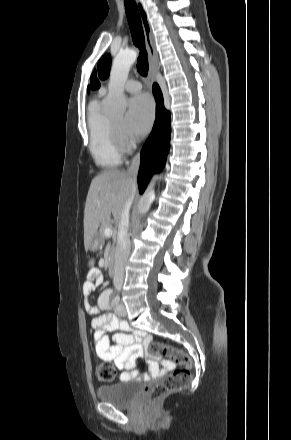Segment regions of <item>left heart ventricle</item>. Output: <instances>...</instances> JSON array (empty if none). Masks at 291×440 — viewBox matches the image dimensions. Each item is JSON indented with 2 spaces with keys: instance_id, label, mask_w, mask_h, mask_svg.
Returning <instances> with one entry per match:
<instances>
[{
  "instance_id": "1",
  "label": "left heart ventricle",
  "mask_w": 291,
  "mask_h": 440,
  "mask_svg": "<svg viewBox=\"0 0 291 440\" xmlns=\"http://www.w3.org/2000/svg\"><path fill=\"white\" fill-rule=\"evenodd\" d=\"M113 123L118 126L121 130H123L124 127V116L114 117L111 119Z\"/></svg>"
}]
</instances>
